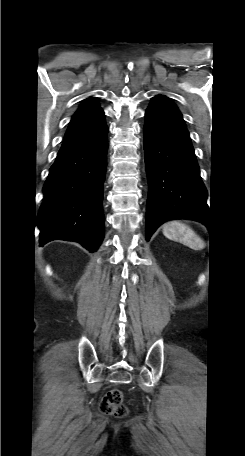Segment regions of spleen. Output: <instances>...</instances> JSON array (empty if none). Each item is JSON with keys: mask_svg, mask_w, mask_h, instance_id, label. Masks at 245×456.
Wrapping results in <instances>:
<instances>
[{"mask_svg": "<svg viewBox=\"0 0 245 456\" xmlns=\"http://www.w3.org/2000/svg\"><path fill=\"white\" fill-rule=\"evenodd\" d=\"M163 234L172 240L181 241L192 249H199L204 244L196 233L181 221H170L163 226Z\"/></svg>", "mask_w": 245, "mask_h": 456, "instance_id": "obj_1", "label": "spleen"}]
</instances>
